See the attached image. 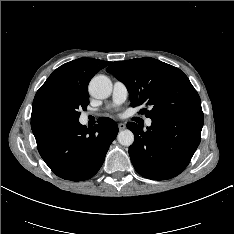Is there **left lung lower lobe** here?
Listing matches in <instances>:
<instances>
[{"label":"left lung lower lobe","mask_w":234,"mask_h":234,"mask_svg":"<svg viewBox=\"0 0 234 234\" xmlns=\"http://www.w3.org/2000/svg\"><path fill=\"white\" fill-rule=\"evenodd\" d=\"M203 122L202 110H195L152 119L146 131L135 123H127L135 136L129 155L136 171L153 180L179 175L200 143Z\"/></svg>","instance_id":"left-lung-lower-lobe-1"}]
</instances>
